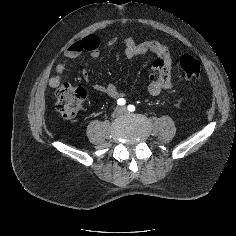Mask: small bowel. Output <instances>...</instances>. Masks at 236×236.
<instances>
[{"mask_svg":"<svg viewBox=\"0 0 236 236\" xmlns=\"http://www.w3.org/2000/svg\"><path fill=\"white\" fill-rule=\"evenodd\" d=\"M114 39L107 41V45H112ZM101 39L96 34H89L82 39L73 42L66 50L65 58L56 66L55 74L50 78L49 85L52 88H58L63 84L62 75L66 70L70 60L78 58L82 53L89 52L93 58H97L100 54ZM124 55L127 58H133L146 53L154 56L153 69L149 76L147 90L152 96L161 94L164 90L172 87L173 61L171 52L167 45L155 41L146 40L136 43L133 38L127 37L123 47ZM84 80L90 84L93 90L106 94L113 99H120L122 92L114 84H101L93 82L91 75L87 70L83 73Z\"/></svg>","mask_w":236,"mask_h":236,"instance_id":"small-bowel-1","label":"small bowel"}]
</instances>
